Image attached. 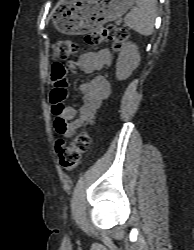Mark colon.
Wrapping results in <instances>:
<instances>
[{
	"label": "colon",
	"instance_id": "obj_1",
	"mask_svg": "<svg viewBox=\"0 0 194 250\" xmlns=\"http://www.w3.org/2000/svg\"><path fill=\"white\" fill-rule=\"evenodd\" d=\"M128 38L126 30L114 25L99 27L86 35L85 41L89 46H97L104 42H111L115 48H121ZM78 50V45L71 40L57 41L53 46V55L57 59H67L73 56ZM61 76L53 77L54 82ZM67 97L65 90L58 91L56 88L52 91L51 100L53 108L57 109L58 104ZM89 134L87 131L79 132L76 137L69 143L65 144L63 139H58L56 152L60 164L64 168H70L75 165L81 158L82 154L89 147Z\"/></svg>",
	"mask_w": 194,
	"mask_h": 250
}]
</instances>
